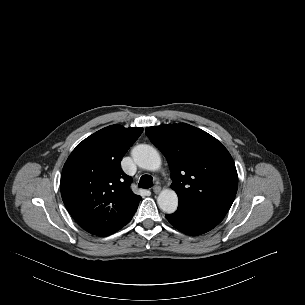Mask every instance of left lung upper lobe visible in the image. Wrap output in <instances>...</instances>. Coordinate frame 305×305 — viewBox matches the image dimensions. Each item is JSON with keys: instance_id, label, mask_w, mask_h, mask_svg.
Masks as SVG:
<instances>
[{"instance_id": "left-lung-upper-lobe-1", "label": "left lung upper lobe", "mask_w": 305, "mask_h": 305, "mask_svg": "<svg viewBox=\"0 0 305 305\" xmlns=\"http://www.w3.org/2000/svg\"><path fill=\"white\" fill-rule=\"evenodd\" d=\"M146 135L166 156L179 204L232 205L238 175L216 138L186 123L148 127Z\"/></svg>"}]
</instances>
